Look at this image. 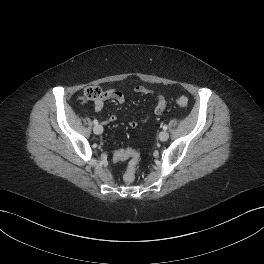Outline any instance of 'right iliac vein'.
<instances>
[{
    "label": "right iliac vein",
    "mask_w": 264,
    "mask_h": 264,
    "mask_svg": "<svg viewBox=\"0 0 264 264\" xmlns=\"http://www.w3.org/2000/svg\"><path fill=\"white\" fill-rule=\"evenodd\" d=\"M95 134L99 135L103 132V127L101 125H95L93 128Z\"/></svg>",
    "instance_id": "obj_1"
}]
</instances>
